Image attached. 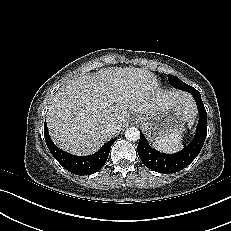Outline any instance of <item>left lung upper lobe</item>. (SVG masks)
I'll return each instance as SVG.
<instances>
[{"instance_id": "left-lung-upper-lobe-1", "label": "left lung upper lobe", "mask_w": 231, "mask_h": 231, "mask_svg": "<svg viewBox=\"0 0 231 231\" xmlns=\"http://www.w3.org/2000/svg\"><path fill=\"white\" fill-rule=\"evenodd\" d=\"M168 80L171 83V85H173L177 89L187 91V92H190V90L195 89L192 86H189L188 84L184 83L182 80H180L176 76L168 75Z\"/></svg>"}]
</instances>
